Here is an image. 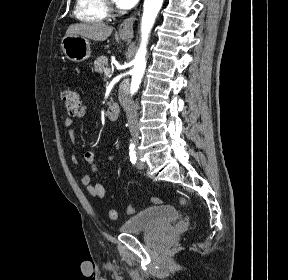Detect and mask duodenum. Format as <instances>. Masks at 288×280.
I'll use <instances>...</instances> for the list:
<instances>
[{"label": "duodenum", "mask_w": 288, "mask_h": 280, "mask_svg": "<svg viewBox=\"0 0 288 280\" xmlns=\"http://www.w3.org/2000/svg\"><path fill=\"white\" fill-rule=\"evenodd\" d=\"M106 114H107L108 120L112 122L117 121L120 115L119 105L117 103H112L111 105H109Z\"/></svg>", "instance_id": "obj_1"}]
</instances>
